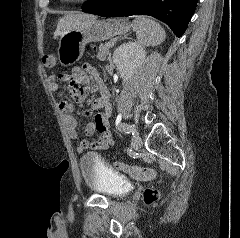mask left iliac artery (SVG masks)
Here are the masks:
<instances>
[{
	"label": "left iliac artery",
	"instance_id": "left-iliac-artery-1",
	"mask_svg": "<svg viewBox=\"0 0 240 238\" xmlns=\"http://www.w3.org/2000/svg\"><path fill=\"white\" fill-rule=\"evenodd\" d=\"M119 130H121V129H124L125 130V132L126 133H130V132H132L133 133V131H134V127H132V126H130V125H128V124H121L120 125V128H118Z\"/></svg>",
	"mask_w": 240,
	"mask_h": 238
}]
</instances>
